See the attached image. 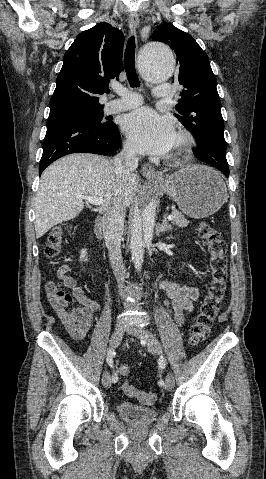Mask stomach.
<instances>
[{
  "instance_id": "1",
  "label": "stomach",
  "mask_w": 266,
  "mask_h": 479,
  "mask_svg": "<svg viewBox=\"0 0 266 479\" xmlns=\"http://www.w3.org/2000/svg\"><path fill=\"white\" fill-rule=\"evenodd\" d=\"M187 216L195 219L217 212L227 198V188L214 169L195 165L183 168L162 181H153Z\"/></svg>"
}]
</instances>
